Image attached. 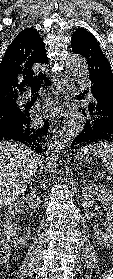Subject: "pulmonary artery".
<instances>
[{
    "label": "pulmonary artery",
    "instance_id": "pulmonary-artery-1",
    "mask_svg": "<svg viewBox=\"0 0 113 279\" xmlns=\"http://www.w3.org/2000/svg\"><path fill=\"white\" fill-rule=\"evenodd\" d=\"M30 98V94H25L20 97L21 103L26 102Z\"/></svg>",
    "mask_w": 113,
    "mask_h": 279
}]
</instances>
